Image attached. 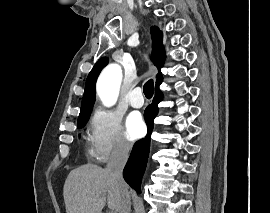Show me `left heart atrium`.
<instances>
[{
    "mask_svg": "<svg viewBox=\"0 0 270 213\" xmlns=\"http://www.w3.org/2000/svg\"><path fill=\"white\" fill-rule=\"evenodd\" d=\"M145 125L137 113H131L126 120V137L129 140H135L144 134Z\"/></svg>",
    "mask_w": 270,
    "mask_h": 213,
    "instance_id": "left-heart-atrium-1",
    "label": "left heart atrium"
}]
</instances>
